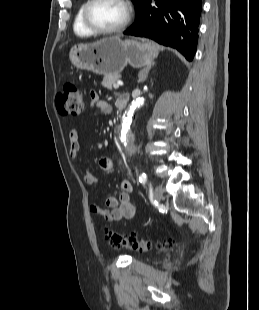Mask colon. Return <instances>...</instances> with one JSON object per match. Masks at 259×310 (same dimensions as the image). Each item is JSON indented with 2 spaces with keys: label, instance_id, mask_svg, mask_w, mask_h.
I'll return each instance as SVG.
<instances>
[{
  "label": "colon",
  "instance_id": "5ec220e1",
  "mask_svg": "<svg viewBox=\"0 0 259 310\" xmlns=\"http://www.w3.org/2000/svg\"><path fill=\"white\" fill-rule=\"evenodd\" d=\"M56 104L61 113L71 116H79L84 110L83 93L80 87L73 82H68L56 95ZM105 240L118 249H131L137 252H147L152 249H167L172 246L171 241L151 242L140 238L136 234H120L112 230H106Z\"/></svg>",
  "mask_w": 259,
  "mask_h": 310
}]
</instances>
